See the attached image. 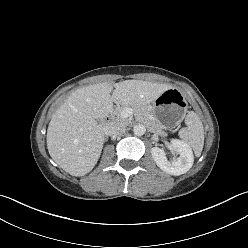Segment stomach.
<instances>
[{
    "label": "stomach",
    "mask_w": 248,
    "mask_h": 248,
    "mask_svg": "<svg viewBox=\"0 0 248 248\" xmlns=\"http://www.w3.org/2000/svg\"><path fill=\"white\" fill-rule=\"evenodd\" d=\"M187 102L177 88L164 91L152 103L150 110L153 120L163 129H171L185 117Z\"/></svg>",
    "instance_id": "1"
}]
</instances>
